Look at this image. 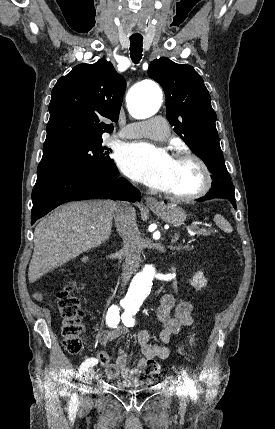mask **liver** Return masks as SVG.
Segmentation results:
<instances>
[{
  "instance_id": "obj_1",
  "label": "liver",
  "mask_w": 275,
  "mask_h": 429,
  "mask_svg": "<svg viewBox=\"0 0 275 429\" xmlns=\"http://www.w3.org/2000/svg\"><path fill=\"white\" fill-rule=\"evenodd\" d=\"M119 205L111 200L73 202L43 218L34 231L29 281H37L108 240Z\"/></svg>"
}]
</instances>
